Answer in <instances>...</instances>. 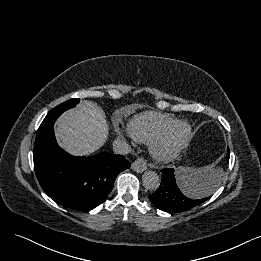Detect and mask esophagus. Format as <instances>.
Instances as JSON below:
<instances>
[{
	"instance_id": "1",
	"label": "esophagus",
	"mask_w": 261,
	"mask_h": 261,
	"mask_svg": "<svg viewBox=\"0 0 261 261\" xmlns=\"http://www.w3.org/2000/svg\"><path fill=\"white\" fill-rule=\"evenodd\" d=\"M131 168L137 172V173H142L147 169L146 161L144 158H137L133 163Z\"/></svg>"
}]
</instances>
